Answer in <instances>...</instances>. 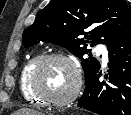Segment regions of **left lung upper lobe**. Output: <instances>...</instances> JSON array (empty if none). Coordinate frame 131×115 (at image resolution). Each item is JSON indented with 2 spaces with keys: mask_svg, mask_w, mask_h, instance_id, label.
<instances>
[{
  "mask_svg": "<svg viewBox=\"0 0 131 115\" xmlns=\"http://www.w3.org/2000/svg\"><path fill=\"white\" fill-rule=\"evenodd\" d=\"M130 26L131 14L125 0H51L24 31L22 43L28 47L43 41L66 47L82 60L86 84L100 68L91 54L83 58L90 52L87 46L103 43L108 48Z\"/></svg>",
  "mask_w": 131,
  "mask_h": 115,
  "instance_id": "1",
  "label": "left lung upper lobe"
}]
</instances>
